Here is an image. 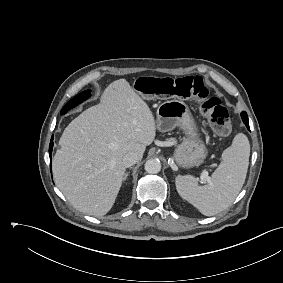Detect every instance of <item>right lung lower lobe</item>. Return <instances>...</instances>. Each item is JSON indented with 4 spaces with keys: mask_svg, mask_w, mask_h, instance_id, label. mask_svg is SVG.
<instances>
[{
    "mask_svg": "<svg viewBox=\"0 0 283 283\" xmlns=\"http://www.w3.org/2000/svg\"><path fill=\"white\" fill-rule=\"evenodd\" d=\"M52 147H53V138L51 139L50 146H49L50 159H51Z\"/></svg>",
    "mask_w": 283,
    "mask_h": 283,
    "instance_id": "1",
    "label": "right lung lower lobe"
}]
</instances>
